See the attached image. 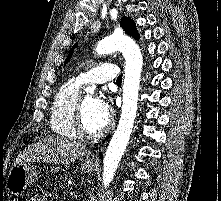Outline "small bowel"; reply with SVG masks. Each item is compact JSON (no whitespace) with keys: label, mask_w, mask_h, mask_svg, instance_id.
<instances>
[{"label":"small bowel","mask_w":221,"mask_h":201,"mask_svg":"<svg viewBox=\"0 0 221 201\" xmlns=\"http://www.w3.org/2000/svg\"><path fill=\"white\" fill-rule=\"evenodd\" d=\"M29 201H49L46 196L38 194L33 196Z\"/></svg>","instance_id":"obj_1"}]
</instances>
